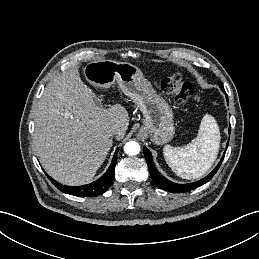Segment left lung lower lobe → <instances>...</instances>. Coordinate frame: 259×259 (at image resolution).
Here are the masks:
<instances>
[{"mask_svg":"<svg viewBox=\"0 0 259 259\" xmlns=\"http://www.w3.org/2000/svg\"><path fill=\"white\" fill-rule=\"evenodd\" d=\"M224 93H226V92H224ZM226 97H227V94H226ZM230 130H231V128H229V133H230ZM226 149H227V147H226ZM144 155H145V159L147 161L148 167H149V172H150L151 178L153 179L154 183L157 185L158 188L169 191V192L183 193V192L194 190V189L204 185L208 181H210L212 179V177L215 175V173L217 172V170L219 169V167L224 159L225 153H224L221 161L218 163V165L215 167V169L208 176H206L205 178H203L197 182L190 183V184H177V183H173V182L169 181L155 168L151 153L146 147H144Z\"/></svg>","mask_w":259,"mask_h":259,"instance_id":"left-lung-lower-lobe-1","label":"left lung lower lobe"}]
</instances>
